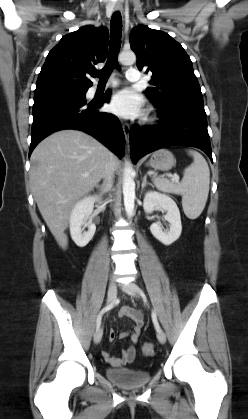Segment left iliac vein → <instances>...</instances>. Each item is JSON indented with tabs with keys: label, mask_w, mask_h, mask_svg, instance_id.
Listing matches in <instances>:
<instances>
[{
	"label": "left iliac vein",
	"mask_w": 248,
	"mask_h": 419,
	"mask_svg": "<svg viewBox=\"0 0 248 419\" xmlns=\"http://www.w3.org/2000/svg\"><path fill=\"white\" fill-rule=\"evenodd\" d=\"M122 290L133 297H136V298L140 297V290L138 286L135 284L122 285ZM157 339L162 344L166 342V335L162 330L157 331Z\"/></svg>",
	"instance_id": "obj_1"
}]
</instances>
